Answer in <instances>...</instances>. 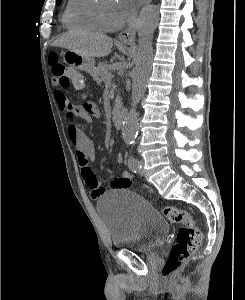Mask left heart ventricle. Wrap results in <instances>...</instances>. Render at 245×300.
Wrapping results in <instances>:
<instances>
[{
	"mask_svg": "<svg viewBox=\"0 0 245 300\" xmlns=\"http://www.w3.org/2000/svg\"><path fill=\"white\" fill-rule=\"evenodd\" d=\"M103 7L109 21L119 22L123 20L119 10V5L115 0H104Z\"/></svg>",
	"mask_w": 245,
	"mask_h": 300,
	"instance_id": "obj_1",
	"label": "left heart ventricle"
}]
</instances>
